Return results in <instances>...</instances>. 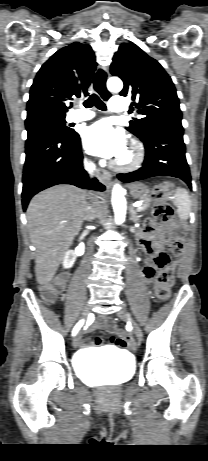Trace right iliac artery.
Wrapping results in <instances>:
<instances>
[{
	"label": "right iliac artery",
	"mask_w": 208,
	"mask_h": 461,
	"mask_svg": "<svg viewBox=\"0 0 208 461\" xmlns=\"http://www.w3.org/2000/svg\"><path fill=\"white\" fill-rule=\"evenodd\" d=\"M84 321L81 320L79 321L76 326L74 327L73 331H72V335L75 336L77 334V332L79 331V329L81 328V326L83 325Z\"/></svg>",
	"instance_id": "obj_1"
}]
</instances>
